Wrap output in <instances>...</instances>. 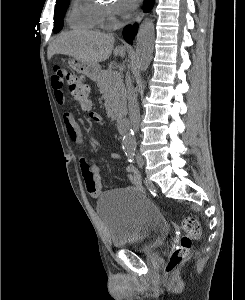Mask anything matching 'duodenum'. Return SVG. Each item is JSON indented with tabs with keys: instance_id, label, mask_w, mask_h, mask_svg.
<instances>
[{
	"instance_id": "410a0bca",
	"label": "duodenum",
	"mask_w": 245,
	"mask_h": 300,
	"mask_svg": "<svg viewBox=\"0 0 245 300\" xmlns=\"http://www.w3.org/2000/svg\"><path fill=\"white\" fill-rule=\"evenodd\" d=\"M117 127L121 134H125L128 130V120L126 118L117 119Z\"/></svg>"
}]
</instances>
